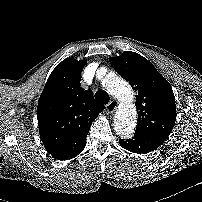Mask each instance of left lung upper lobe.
Here are the masks:
<instances>
[{
  "label": "left lung upper lobe",
  "instance_id": "left-lung-upper-lobe-1",
  "mask_svg": "<svg viewBox=\"0 0 202 202\" xmlns=\"http://www.w3.org/2000/svg\"><path fill=\"white\" fill-rule=\"evenodd\" d=\"M110 63L137 91L138 123L135 134L166 140L177 115L170 83L138 53L125 51L111 58Z\"/></svg>",
  "mask_w": 202,
  "mask_h": 202
}]
</instances>
